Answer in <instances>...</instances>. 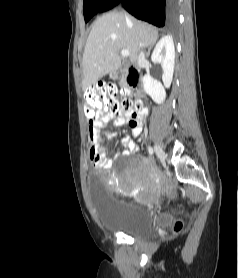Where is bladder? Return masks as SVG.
<instances>
[{"mask_svg": "<svg viewBox=\"0 0 238 278\" xmlns=\"http://www.w3.org/2000/svg\"><path fill=\"white\" fill-rule=\"evenodd\" d=\"M89 180H96V175H89ZM96 215L101 226L108 232L122 233L135 239L153 236L170 223L166 213L153 214L137 204H121L116 197L107 195L102 181H90Z\"/></svg>", "mask_w": 238, "mask_h": 278, "instance_id": "obj_1", "label": "bladder"}]
</instances>
